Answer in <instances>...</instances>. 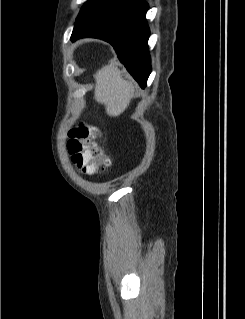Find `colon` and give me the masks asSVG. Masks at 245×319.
Masks as SVG:
<instances>
[{
  "label": "colon",
  "mask_w": 245,
  "mask_h": 319,
  "mask_svg": "<svg viewBox=\"0 0 245 319\" xmlns=\"http://www.w3.org/2000/svg\"><path fill=\"white\" fill-rule=\"evenodd\" d=\"M97 136V131L84 123H79L69 132L68 150L71 159L88 174L109 165V158L98 143Z\"/></svg>",
  "instance_id": "1"
}]
</instances>
